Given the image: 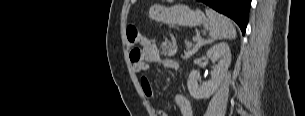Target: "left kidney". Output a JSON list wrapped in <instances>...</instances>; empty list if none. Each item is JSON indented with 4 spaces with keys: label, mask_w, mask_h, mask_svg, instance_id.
Wrapping results in <instances>:
<instances>
[{
    "label": "left kidney",
    "mask_w": 305,
    "mask_h": 116,
    "mask_svg": "<svg viewBox=\"0 0 305 116\" xmlns=\"http://www.w3.org/2000/svg\"><path fill=\"white\" fill-rule=\"evenodd\" d=\"M207 57L214 64L210 81L199 85L198 81L201 82L199 72L192 70L189 74L187 86L190 95L194 99H207L219 88L231 64L229 45L225 42L214 45L207 51Z\"/></svg>",
    "instance_id": "1"
}]
</instances>
